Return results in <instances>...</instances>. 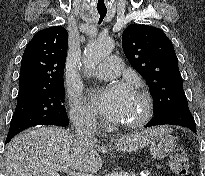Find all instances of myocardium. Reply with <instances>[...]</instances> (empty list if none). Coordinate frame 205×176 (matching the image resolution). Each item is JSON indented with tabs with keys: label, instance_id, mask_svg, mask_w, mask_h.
Listing matches in <instances>:
<instances>
[{
	"label": "myocardium",
	"instance_id": "myocardium-1",
	"mask_svg": "<svg viewBox=\"0 0 205 176\" xmlns=\"http://www.w3.org/2000/svg\"><path fill=\"white\" fill-rule=\"evenodd\" d=\"M137 97L141 100L143 104V114L142 116L131 123H120L119 127L123 129H137L144 126L151 118L153 112L152 100L149 94L144 90H139L137 92Z\"/></svg>",
	"mask_w": 205,
	"mask_h": 176
}]
</instances>
